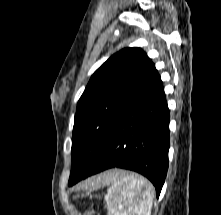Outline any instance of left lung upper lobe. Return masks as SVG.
Segmentation results:
<instances>
[{
    "label": "left lung upper lobe",
    "mask_w": 221,
    "mask_h": 215,
    "mask_svg": "<svg viewBox=\"0 0 221 215\" xmlns=\"http://www.w3.org/2000/svg\"><path fill=\"white\" fill-rule=\"evenodd\" d=\"M154 64L137 47L112 55L90 78L77 104L72 135L70 180H81L105 147L121 110L147 82ZM97 151L89 155L87 148Z\"/></svg>",
    "instance_id": "5c2ea615"
}]
</instances>
